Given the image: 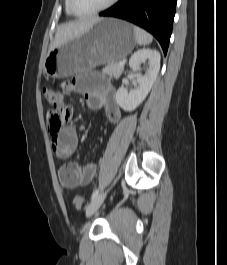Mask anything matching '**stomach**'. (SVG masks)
<instances>
[{
  "label": "stomach",
  "instance_id": "1",
  "mask_svg": "<svg viewBox=\"0 0 227 265\" xmlns=\"http://www.w3.org/2000/svg\"><path fill=\"white\" fill-rule=\"evenodd\" d=\"M136 43L130 23L103 18L86 33L49 51L43 70L48 77H70L101 64L121 61Z\"/></svg>",
  "mask_w": 227,
  "mask_h": 265
}]
</instances>
